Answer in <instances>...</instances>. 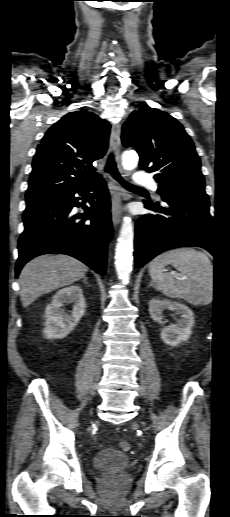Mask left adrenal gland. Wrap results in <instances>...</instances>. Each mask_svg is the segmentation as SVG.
Here are the masks:
<instances>
[{"mask_svg":"<svg viewBox=\"0 0 230 517\" xmlns=\"http://www.w3.org/2000/svg\"><path fill=\"white\" fill-rule=\"evenodd\" d=\"M152 285H153V284H152V283H150V285H149L148 287H151Z\"/></svg>","mask_w":230,"mask_h":517,"instance_id":"left-adrenal-gland-1","label":"left adrenal gland"}]
</instances>
